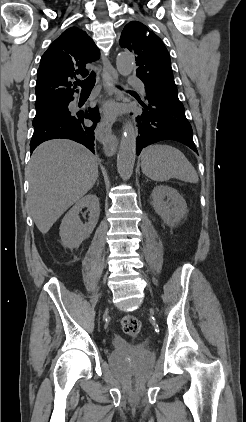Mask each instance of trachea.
<instances>
[{"mask_svg":"<svg viewBox=\"0 0 246 422\" xmlns=\"http://www.w3.org/2000/svg\"><path fill=\"white\" fill-rule=\"evenodd\" d=\"M96 73L91 74L83 81H77L75 84L82 87V90H91L95 85Z\"/></svg>","mask_w":246,"mask_h":422,"instance_id":"1","label":"trachea"}]
</instances>
